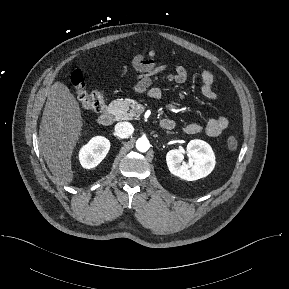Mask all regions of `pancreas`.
I'll list each match as a JSON object with an SVG mask.
<instances>
[{"label":"pancreas","mask_w":289,"mask_h":289,"mask_svg":"<svg viewBox=\"0 0 289 289\" xmlns=\"http://www.w3.org/2000/svg\"><path fill=\"white\" fill-rule=\"evenodd\" d=\"M111 114L117 121L138 119L139 114L135 110V105L129 99H117L109 104Z\"/></svg>","instance_id":"1"}]
</instances>
